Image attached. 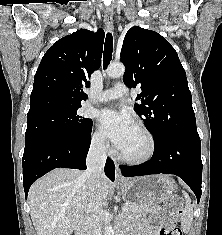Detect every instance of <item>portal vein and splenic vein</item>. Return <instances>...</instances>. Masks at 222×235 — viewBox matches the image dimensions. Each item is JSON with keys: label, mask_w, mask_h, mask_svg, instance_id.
<instances>
[{"label": "portal vein and splenic vein", "mask_w": 222, "mask_h": 235, "mask_svg": "<svg viewBox=\"0 0 222 235\" xmlns=\"http://www.w3.org/2000/svg\"><path fill=\"white\" fill-rule=\"evenodd\" d=\"M122 210H123V211H128L127 206H123V207H122Z\"/></svg>", "instance_id": "1"}]
</instances>
